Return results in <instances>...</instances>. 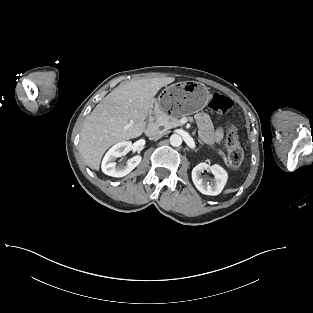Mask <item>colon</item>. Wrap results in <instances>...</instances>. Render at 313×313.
<instances>
[{"label":"colon","mask_w":313,"mask_h":313,"mask_svg":"<svg viewBox=\"0 0 313 313\" xmlns=\"http://www.w3.org/2000/svg\"><path fill=\"white\" fill-rule=\"evenodd\" d=\"M232 106L233 102L229 97L218 93L214 94L209 102V107L219 113H227ZM225 144L230 164L234 167L240 166L244 159V153L239 144L236 129L232 124H229Z\"/></svg>","instance_id":"5ec220e1"}]
</instances>
